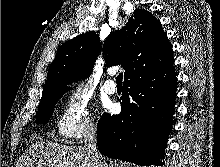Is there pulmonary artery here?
<instances>
[{
  "mask_svg": "<svg viewBox=\"0 0 220 167\" xmlns=\"http://www.w3.org/2000/svg\"><path fill=\"white\" fill-rule=\"evenodd\" d=\"M108 74L110 76L113 75V72H108ZM104 90L108 93V94H114L117 90L116 84L114 83L113 80L109 79L106 80L103 84Z\"/></svg>",
  "mask_w": 220,
  "mask_h": 167,
  "instance_id": "pulmonary-artery-1",
  "label": "pulmonary artery"
}]
</instances>
